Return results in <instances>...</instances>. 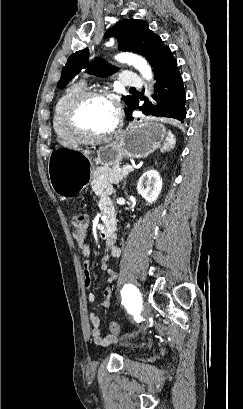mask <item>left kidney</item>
I'll list each match as a JSON object with an SVG mask.
<instances>
[{"mask_svg": "<svg viewBox=\"0 0 243 409\" xmlns=\"http://www.w3.org/2000/svg\"><path fill=\"white\" fill-rule=\"evenodd\" d=\"M162 190V179L156 170L145 172L137 184V192L149 203L157 200Z\"/></svg>", "mask_w": 243, "mask_h": 409, "instance_id": "5707ae66", "label": "left kidney"}]
</instances>
